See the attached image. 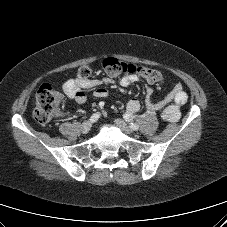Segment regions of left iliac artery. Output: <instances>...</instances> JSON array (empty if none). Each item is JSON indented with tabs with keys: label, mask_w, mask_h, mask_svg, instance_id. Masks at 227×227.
I'll use <instances>...</instances> for the list:
<instances>
[{
	"label": "left iliac artery",
	"mask_w": 227,
	"mask_h": 227,
	"mask_svg": "<svg viewBox=\"0 0 227 227\" xmlns=\"http://www.w3.org/2000/svg\"><path fill=\"white\" fill-rule=\"evenodd\" d=\"M130 127H131L133 130H138V129H139V125L136 124V123H130Z\"/></svg>",
	"instance_id": "left-iliac-artery-1"
}]
</instances>
